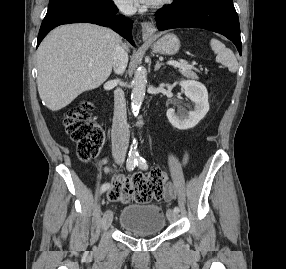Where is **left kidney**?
<instances>
[{"instance_id":"5707ae66","label":"left kidney","mask_w":286,"mask_h":269,"mask_svg":"<svg viewBox=\"0 0 286 269\" xmlns=\"http://www.w3.org/2000/svg\"><path fill=\"white\" fill-rule=\"evenodd\" d=\"M187 98L194 104V110L187 115H176L175 110L170 108L166 115L169 122L177 129L187 130L196 126L209 111L208 92L206 87L195 80H185L180 82Z\"/></svg>"}]
</instances>
